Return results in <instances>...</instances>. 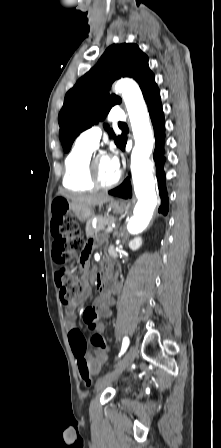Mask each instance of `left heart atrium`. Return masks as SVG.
Masks as SVG:
<instances>
[{
    "label": "left heart atrium",
    "mask_w": 221,
    "mask_h": 448,
    "mask_svg": "<svg viewBox=\"0 0 221 448\" xmlns=\"http://www.w3.org/2000/svg\"><path fill=\"white\" fill-rule=\"evenodd\" d=\"M109 162H110V168L112 169V171L118 175L120 172V168H121V162H120L119 156L117 154L111 155L109 157Z\"/></svg>",
    "instance_id": "left-heart-atrium-1"
}]
</instances>
